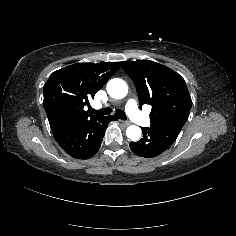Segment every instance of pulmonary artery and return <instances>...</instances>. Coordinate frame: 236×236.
<instances>
[{
  "label": "pulmonary artery",
  "instance_id": "obj_1",
  "mask_svg": "<svg viewBox=\"0 0 236 236\" xmlns=\"http://www.w3.org/2000/svg\"><path fill=\"white\" fill-rule=\"evenodd\" d=\"M125 110L137 124L142 125L147 122V117L143 115L141 110L137 109V102L135 100H128L125 104Z\"/></svg>",
  "mask_w": 236,
  "mask_h": 236
}]
</instances>
